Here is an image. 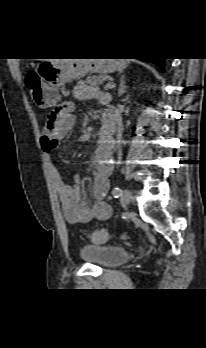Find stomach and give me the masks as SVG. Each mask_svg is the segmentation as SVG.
<instances>
[{
  "mask_svg": "<svg viewBox=\"0 0 206 348\" xmlns=\"http://www.w3.org/2000/svg\"><path fill=\"white\" fill-rule=\"evenodd\" d=\"M124 67V61L119 59H68L60 62H42L37 66L36 71L53 89H58L74 79L82 78L86 74L106 75L120 71ZM34 100L38 107L46 109L58 102L59 95L53 93L50 96L47 92L41 90Z\"/></svg>",
  "mask_w": 206,
  "mask_h": 348,
  "instance_id": "obj_1",
  "label": "stomach"
}]
</instances>
